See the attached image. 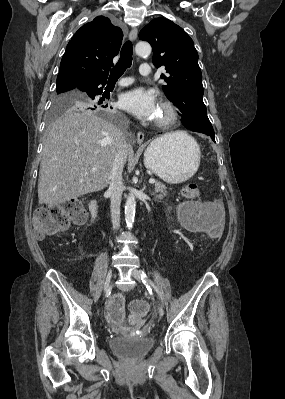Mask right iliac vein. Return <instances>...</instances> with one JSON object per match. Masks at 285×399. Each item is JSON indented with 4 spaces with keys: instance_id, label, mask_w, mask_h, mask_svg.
Instances as JSON below:
<instances>
[{
    "instance_id": "obj_1",
    "label": "right iliac vein",
    "mask_w": 285,
    "mask_h": 399,
    "mask_svg": "<svg viewBox=\"0 0 285 399\" xmlns=\"http://www.w3.org/2000/svg\"><path fill=\"white\" fill-rule=\"evenodd\" d=\"M112 277V267L109 269L108 274L106 276L104 285H103V292H106L110 289V282Z\"/></svg>"
}]
</instances>
